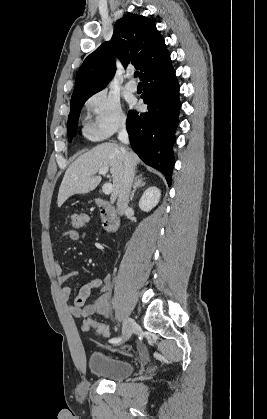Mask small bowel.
<instances>
[{
	"label": "small bowel",
	"instance_id": "1",
	"mask_svg": "<svg viewBox=\"0 0 267 419\" xmlns=\"http://www.w3.org/2000/svg\"><path fill=\"white\" fill-rule=\"evenodd\" d=\"M62 236L68 237L72 241H82L88 234L72 229L66 230ZM54 273L61 286L62 297L68 301L72 295V288L67 284L69 279L77 275L76 271L64 273L60 265L54 264ZM112 279L110 275H104L99 278H93L84 284L78 291L77 296L69 305V311L75 318H86L92 315H101L108 317L110 315V286ZM93 289H99L100 293L91 302L86 303Z\"/></svg>",
	"mask_w": 267,
	"mask_h": 419
}]
</instances>
